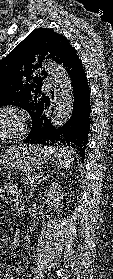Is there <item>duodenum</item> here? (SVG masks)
Returning <instances> with one entry per match:
<instances>
[{"label": "duodenum", "mask_w": 113, "mask_h": 279, "mask_svg": "<svg viewBox=\"0 0 113 279\" xmlns=\"http://www.w3.org/2000/svg\"><path fill=\"white\" fill-rule=\"evenodd\" d=\"M17 209H18L19 212H22V211H23V206H22L21 204H19V205L17 206ZM18 243H19V239H18V238H15V239H14V244H18Z\"/></svg>", "instance_id": "obj_1"}]
</instances>
